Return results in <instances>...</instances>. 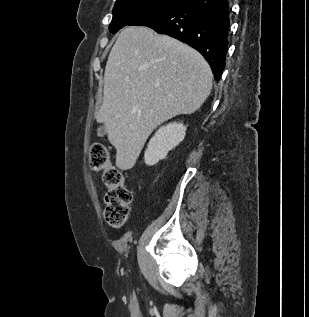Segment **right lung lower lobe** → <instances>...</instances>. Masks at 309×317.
<instances>
[{
	"label": "right lung lower lobe",
	"instance_id": "98d812e1",
	"mask_svg": "<svg viewBox=\"0 0 309 317\" xmlns=\"http://www.w3.org/2000/svg\"><path fill=\"white\" fill-rule=\"evenodd\" d=\"M229 24L228 0H183L146 13L128 25L148 26L187 43L204 56L219 81L225 67Z\"/></svg>",
	"mask_w": 309,
	"mask_h": 317
}]
</instances>
